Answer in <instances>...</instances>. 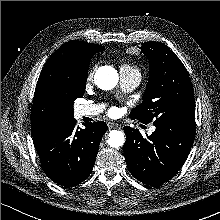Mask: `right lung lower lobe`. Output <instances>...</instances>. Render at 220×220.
Segmentation results:
<instances>
[{"label": "right lung lower lobe", "mask_w": 220, "mask_h": 220, "mask_svg": "<svg viewBox=\"0 0 220 220\" xmlns=\"http://www.w3.org/2000/svg\"><path fill=\"white\" fill-rule=\"evenodd\" d=\"M76 120L59 122L33 135L43 171L55 183L70 188L83 182L92 172L102 136L103 121L76 127Z\"/></svg>", "instance_id": "98d812e1"}]
</instances>
